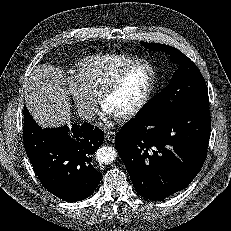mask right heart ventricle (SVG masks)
I'll return each instance as SVG.
<instances>
[{
	"instance_id": "right-heart-ventricle-1",
	"label": "right heart ventricle",
	"mask_w": 231,
	"mask_h": 231,
	"mask_svg": "<svg viewBox=\"0 0 231 231\" xmlns=\"http://www.w3.org/2000/svg\"><path fill=\"white\" fill-rule=\"evenodd\" d=\"M136 59L121 53L94 55L76 65L74 77L88 94L97 98L105 83Z\"/></svg>"
}]
</instances>
